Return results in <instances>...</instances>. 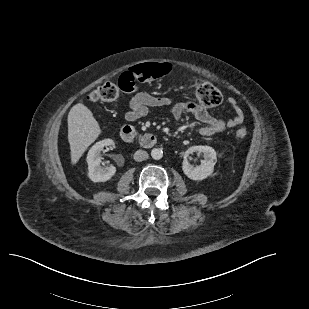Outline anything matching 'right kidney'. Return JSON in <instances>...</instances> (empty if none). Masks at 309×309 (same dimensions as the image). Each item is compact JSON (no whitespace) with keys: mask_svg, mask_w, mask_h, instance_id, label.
I'll use <instances>...</instances> for the list:
<instances>
[{"mask_svg":"<svg viewBox=\"0 0 309 309\" xmlns=\"http://www.w3.org/2000/svg\"><path fill=\"white\" fill-rule=\"evenodd\" d=\"M114 145L113 140L105 139L94 144L87 155L88 176L93 182H105L110 180L116 173L114 166L102 167L101 151L104 147Z\"/></svg>","mask_w":309,"mask_h":309,"instance_id":"ca27d5eb","label":"right kidney"}]
</instances>
